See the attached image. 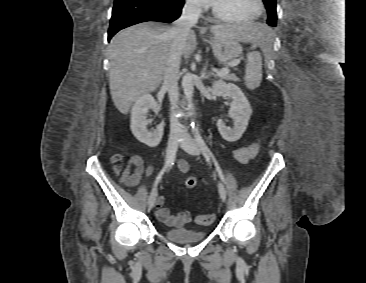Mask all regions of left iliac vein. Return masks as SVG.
I'll list each match as a JSON object with an SVG mask.
<instances>
[{
	"label": "left iliac vein",
	"mask_w": 366,
	"mask_h": 283,
	"mask_svg": "<svg viewBox=\"0 0 366 283\" xmlns=\"http://www.w3.org/2000/svg\"><path fill=\"white\" fill-rule=\"evenodd\" d=\"M180 146L183 150L191 155H199L201 152L198 142L190 136H186V138L180 143ZM218 191L221 199L225 201L227 193L222 183L218 184Z\"/></svg>",
	"instance_id": "4c4485c4"
}]
</instances>
